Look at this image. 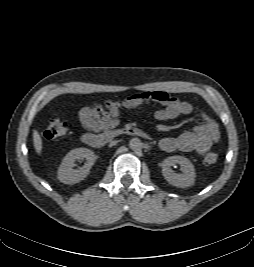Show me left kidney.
<instances>
[{
    "mask_svg": "<svg viewBox=\"0 0 254 267\" xmlns=\"http://www.w3.org/2000/svg\"><path fill=\"white\" fill-rule=\"evenodd\" d=\"M179 164L181 166L182 174L175 173L171 166ZM162 174L166 181L179 188H187L193 186L195 183V168L188 158L183 156H170L162 162Z\"/></svg>",
    "mask_w": 254,
    "mask_h": 267,
    "instance_id": "5707ae66",
    "label": "left kidney"
}]
</instances>
